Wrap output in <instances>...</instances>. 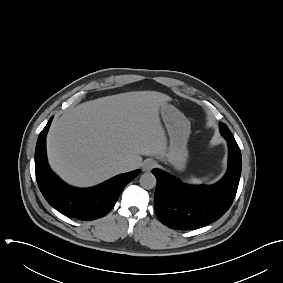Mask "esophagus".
<instances>
[{"instance_id":"34e87169","label":"esophagus","mask_w":283,"mask_h":283,"mask_svg":"<svg viewBox=\"0 0 283 283\" xmlns=\"http://www.w3.org/2000/svg\"><path fill=\"white\" fill-rule=\"evenodd\" d=\"M156 166V162L152 159H147L142 165V170L145 172L151 171Z\"/></svg>"}]
</instances>
